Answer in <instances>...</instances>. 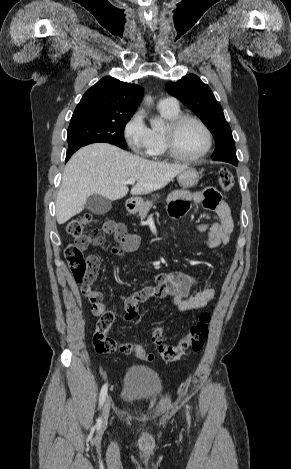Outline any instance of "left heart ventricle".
Masks as SVG:
<instances>
[{
    "label": "left heart ventricle",
    "mask_w": 291,
    "mask_h": 469,
    "mask_svg": "<svg viewBox=\"0 0 291 469\" xmlns=\"http://www.w3.org/2000/svg\"><path fill=\"white\" fill-rule=\"evenodd\" d=\"M174 142L180 155L193 157L204 149L206 138L203 130L196 123L187 121L176 131Z\"/></svg>",
    "instance_id": "1"
}]
</instances>
